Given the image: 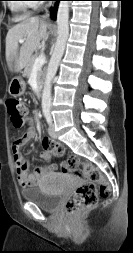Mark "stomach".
<instances>
[{"label": "stomach", "instance_id": "stomach-1", "mask_svg": "<svg viewBox=\"0 0 133 253\" xmlns=\"http://www.w3.org/2000/svg\"><path fill=\"white\" fill-rule=\"evenodd\" d=\"M26 89V85L22 77H16L12 79L9 85V93L14 96L18 97L24 94Z\"/></svg>", "mask_w": 133, "mask_h": 253}]
</instances>
